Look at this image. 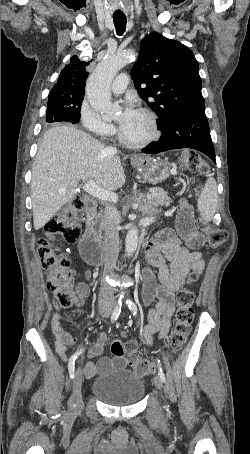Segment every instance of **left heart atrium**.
<instances>
[{"label":"left heart atrium","instance_id":"39dd6f15","mask_svg":"<svg viewBox=\"0 0 250 454\" xmlns=\"http://www.w3.org/2000/svg\"><path fill=\"white\" fill-rule=\"evenodd\" d=\"M137 111L130 102H127L124 106L121 120L119 122L120 126H124L136 113Z\"/></svg>","mask_w":250,"mask_h":454}]
</instances>
